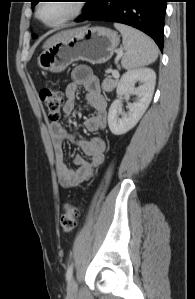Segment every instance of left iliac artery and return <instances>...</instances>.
I'll use <instances>...</instances> for the list:
<instances>
[{"label":"left iliac artery","instance_id":"left-iliac-artery-1","mask_svg":"<svg viewBox=\"0 0 195 299\" xmlns=\"http://www.w3.org/2000/svg\"><path fill=\"white\" fill-rule=\"evenodd\" d=\"M72 274H73V265L71 264L68 267L67 272H66V279H67V281H69L71 279Z\"/></svg>","mask_w":195,"mask_h":299}]
</instances>
